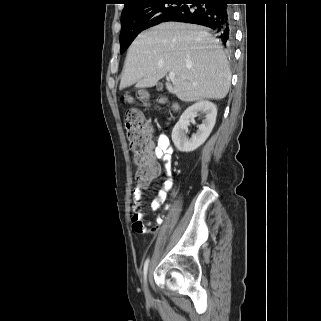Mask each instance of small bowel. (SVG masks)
<instances>
[{"instance_id":"small-bowel-1","label":"small bowel","mask_w":321,"mask_h":321,"mask_svg":"<svg viewBox=\"0 0 321 321\" xmlns=\"http://www.w3.org/2000/svg\"><path fill=\"white\" fill-rule=\"evenodd\" d=\"M149 154L157 168L156 176L153 179L158 178L162 174V168L157 161L159 160L163 162L165 179L151 203V208L153 210H157L166 201L169 194L171 196L174 195V181L172 174L173 147L169 138L166 135L161 134L157 137L156 145L150 141ZM152 180L139 182L133 190V215L131 220L133 230L137 233H155L158 231L159 226L163 223V218L161 216L156 219L155 226L143 221L142 201L144 199V191L148 188ZM169 206V204H166L165 208L168 209Z\"/></svg>"}]
</instances>
